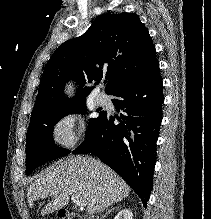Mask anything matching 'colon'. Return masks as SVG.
<instances>
[{"mask_svg":"<svg viewBox=\"0 0 211 219\" xmlns=\"http://www.w3.org/2000/svg\"><path fill=\"white\" fill-rule=\"evenodd\" d=\"M57 219H77V216L65 210H60L57 214Z\"/></svg>","mask_w":211,"mask_h":219,"instance_id":"1","label":"colon"}]
</instances>
